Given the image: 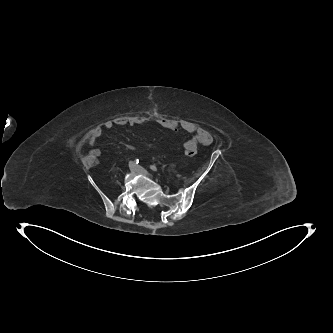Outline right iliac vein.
Here are the masks:
<instances>
[{
    "label": "right iliac vein",
    "mask_w": 333,
    "mask_h": 333,
    "mask_svg": "<svg viewBox=\"0 0 333 333\" xmlns=\"http://www.w3.org/2000/svg\"><path fill=\"white\" fill-rule=\"evenodd\" d=\"M129 167H130V171L134 173L135 172V168H136L135 164L131 163Z\"/></svg>",
    "instance_id": "obj_1"
}]
</instances>
